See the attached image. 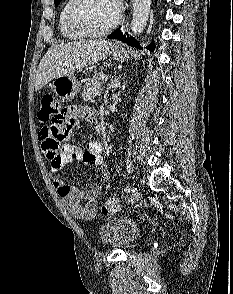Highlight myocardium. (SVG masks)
Instances as JSON below:
<instances>
[{"mask_svg":"<svg viewBox=\"0 0 233 294\" xmlns=\"http://www.w3.org/2000/svg\"><path fill=\"white\" fill-rule=\"evenodd\" d=\"M86 0H72V4L68 10L67 14V21L69 27L79 36L85 37V38H98L105 36L112 32L121 22L122 16L120 13L117 14V17L114 19V21L108 25L106 28L100 30V31H88L84 29L78 22L77 19V12L80 8V6L85 2Z\"/></svg>","mask_w":233,"mask_h":294,"instance_id":"f54148a6","label":"myocardium"}]
</instances>
